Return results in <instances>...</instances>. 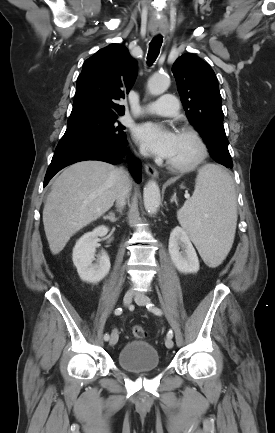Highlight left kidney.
Returning <instances> with one entry per match:
<instances>
[{"label":"left kidney","instance_id":"obj_1","mask_svg":"<svg viewBox=\"0 0 275 433\" xmlns=\"http://www.w3.org/2000/svg\"><path fill=\"white\" fill-rule=\"evenodd\" d=\"M169 253L176 268L182 273L199 270V260L187 232L177 226L169 238Z\"/></svg>","mask_w":275,"mask_h":433}]
</instances>
